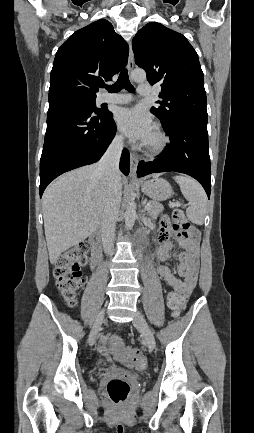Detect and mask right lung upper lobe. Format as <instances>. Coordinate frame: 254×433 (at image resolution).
<instances>
[{"label":"right lung upper lobe","mask_w":254,"mask_h":433,"mask_svg":"<svg viewBox=\"0 0 254 433\" xmlns=\"http://www.w3.org/2000/svg\"><path fill=\"white\" fill-rule=\"evenodd\" d=\"M128 53L127 43L105 19L74 32L56 53L49 103L96 98L101 83L126 66Z\"/></svg>","instance_id":"obj_1"}]
</instances>
